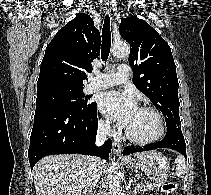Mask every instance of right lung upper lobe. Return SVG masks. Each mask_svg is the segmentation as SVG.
I'll list each match as a JSON object with an SVG mask.
<instances>
[{"mask_svg": "<svg viewBox=\"0 0 211 195\" xmlns=\"http://www.w3.org/2000/svg\"><path fill=\"white\" fill-rule=\"evenodd\" d=\"M100 32L90 16L79 13L47 45L37 93L59 88L83 89L86 72L100 52Z\"/></svg>", "mask_w": 211, "mask_h": 195, "instance_id": "obj_1", "label": "right lung upper lobe"}]
</instances>
